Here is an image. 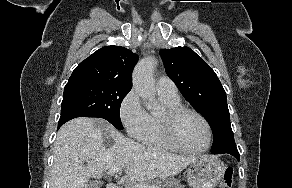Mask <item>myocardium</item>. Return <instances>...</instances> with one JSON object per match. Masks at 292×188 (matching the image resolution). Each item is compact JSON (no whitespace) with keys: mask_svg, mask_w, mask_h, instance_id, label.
<instances>
[{"mask_svg":"<svg viewBox=\"0 0 292 188\" xmlns=\"http://www.w3.org/2000/svg\"><path fill=\"white\" fill-rule=\"evenodd\" d=\"M187 114H192L198 117L204 124L207 131V142L206 145L201 149H190L185 147L179 140L176 132V127L178 121ZM160 127L163 132V135L167 141L174 146L176 149L190 154H201L206 152L211 144L213 139V132L211 125L207 118L201 114L199 111L184 106H178L173 108H166L160 115Z\"/></svg>","mask_w":292,"mask_h":188,"instance_id":"f54148a6","label":"myocardium"}]
</instances>
